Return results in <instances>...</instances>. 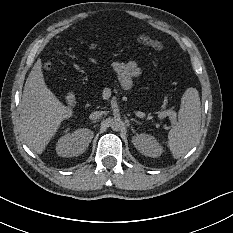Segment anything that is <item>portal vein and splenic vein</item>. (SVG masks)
Listing matches in <instances>:
<instances>
[{
  "label": "portal vein and splenic vein",
  "instance_id": "obj_1",
  "mask_svg": "<svg viewBox=\"0 0 233 233\" xmlns=\"http://www.w3.org/2000/svg\"><path fill=\"white\" fill-rule=\"evenodd\" d=\"M138 117H140V118H146L147 117V114L146 113H144V112H138ZM171 122L172 123H175L176 122V118H171Z\"/></svg>",
  "mask_w": 233,
  "mask_h": 233
}]
</instances>
